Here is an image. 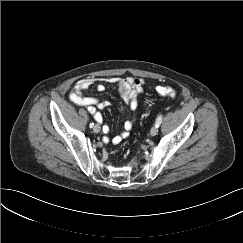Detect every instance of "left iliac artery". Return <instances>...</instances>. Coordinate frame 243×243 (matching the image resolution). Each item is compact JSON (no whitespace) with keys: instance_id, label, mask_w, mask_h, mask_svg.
Returning <instances> with one entry per match:
<instances>
[{"instance_id":"44dca946","label":"left iliac artery","mask_w":243,"mask_h":243,"mask_svg":"<svg viewBox=\"0 0 243 243\" xmlns=\"http://www.w3.org/2000/svg\"><path fill=\"white\" fill-rule=\"evenodd\" d=\"M162 122V115H159L156 119L155 126L159 127Z\"/></svg>"}]
</instances>
